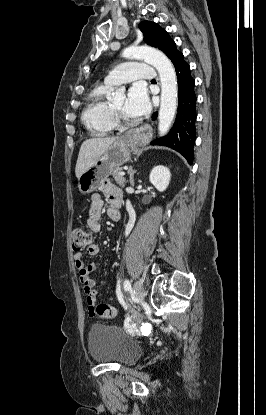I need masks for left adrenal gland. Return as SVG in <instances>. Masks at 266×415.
I'll return each instance as SVG.
<instances>
[{
	"label": "left adrenal gland",
	"instance_id": "a2214340",
	"mask_svg": "<svg viewBox=\"0 0 266 415\" xmlns=\"http://www.w3.org/2000/svg\"><path fill=\"white\" fill-rule=\"evenodd\" d=\"M135 173H136V170H133L132 166H130L128 169V174H129V181H130L131 186H134V174Z\"/></svg>",
	"mask_w": 266,
	"mask_h": 415
}]
</instances>
